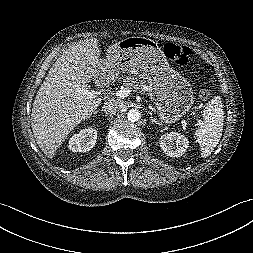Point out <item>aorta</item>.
<instances>
[{
    "instance_id": "1",
    "label": "aorta",
    "mask_w": 253,
    "mask_h": 253,
    "mask_svg": "<svg viewBox=\"0 0 253 253\" xmlns=\"http://www.w3.org/2000/svg\"><path fill=\"white\" fill-rule=\"evenodd\" d=\"M140 117H141L140 111L137 109H131L127 113V118L131 122L138 121L140 119Z\"/></svg>"
}]
</instances>
